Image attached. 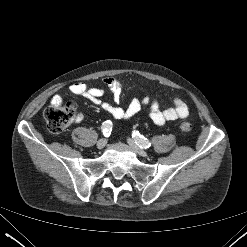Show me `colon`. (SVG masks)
<instances>
[{
	"label": "colon",
	"instance_id": "obj_1",
	"mask_svg": "<svg viewBox=\"0 0 247 247\" xmlns=\"http://www.w3.org/2000/svg\"><path fill=\"white\" fill-rule=\"evenodd\" d=\"M74 108L69 104H52L44 111V118L48 130L53 134L63 132L74 120ZM192 129V124L189 121L180 123V130L184 133Z\"/></svg>",
	"mask_w": 247,
	"mask_h": 247
}]
</instances>
